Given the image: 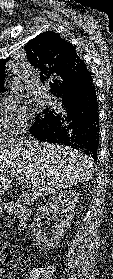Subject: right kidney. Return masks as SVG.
Returning a JSON list of instances; mask_svg holds the SVG:
<instances>
[{"mask_svg": "<svg viewBox=\"0 0 113 279\" xmlns=\"http://www.w3.org/2000/svg\"><path fill=\"white\" fill-rule=\"evenodd\" d=\"M76 201V191L66 190L52 196L49 201H46L44 205L39 207L37 210V217L34 219L33 223V234L38 245L48 250L58 245L71 222ZM48 211L52 212L55 216L59 214L60 217V219L54 220V229L51 233H46L41 225V220Z\"/></svg>", "mask_w": 113, "mask_h": 279, "instance_id": "1", "label": "right kidney"}]
</instances>
